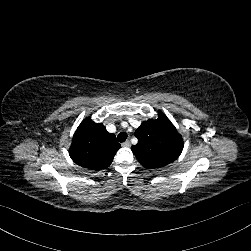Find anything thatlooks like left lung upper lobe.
<instances>
[{
	"label": "left lung upper lobe",
	"instance_id": "5c2ea615",
	"mask_svg": "<svg viewBox=\"0 0 251 251\" xmlns=\"http://www.w3.org/2000/svg\"><path fill=\"white\" fill-rule=\"evenodd\" d=\"M138 143L131 147L139 163L148 169H159L175 161L183 150V140L162 112L158 118L144 121L135 131Z\"/></svg>",
	"mask_w": 251,
	"mask_h": 251
}]
</instances>
